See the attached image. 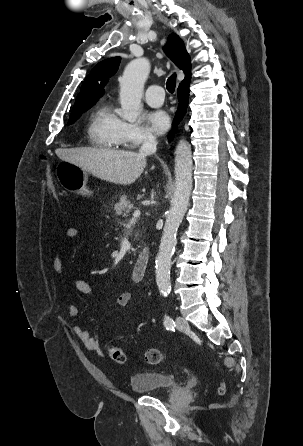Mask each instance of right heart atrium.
Returning <instances> with one entry per match:
<instances>
[{
    "mask_svg": "<svg viewBox=\"0 0 303 446\" xmlns=\"http://www.w3.org/2000/svg\"><path fill=\"white\" fill-rule=\"evenodd\" d=\"M122 143L129 148H136L155 141L154 135L143 125L122 121L120 127Z\"/></svg>",
    "mask_w": 303,
    "mask_h": 446,
    "instance_id": "1",
    "label": "right heart atrium"
}]
</instances>
